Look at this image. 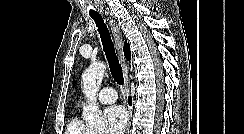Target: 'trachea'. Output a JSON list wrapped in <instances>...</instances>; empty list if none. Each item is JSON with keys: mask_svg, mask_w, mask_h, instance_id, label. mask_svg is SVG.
<instances>
[{"mask_svg": "<svg viewBox=\"0 0 244 134\" xmlns=\"http://www.w3.org/2000/svg\"><path fill=\"white\" fill-rule=\"evenodd\" d=\"M90 16L94 19L96 27L98 28V32L103 45V50L109 63L112 77L118 84L123 85L124 78L121 64L119 63L118 57L115 53L114 44L112 42L109 30L100 14L91 12Z\"/></svg>", "mask_w": 244, "mask_h": 134, "instance_id": "trachea-1", "label": "trachea"}]
</instances>
